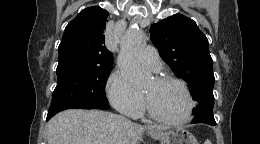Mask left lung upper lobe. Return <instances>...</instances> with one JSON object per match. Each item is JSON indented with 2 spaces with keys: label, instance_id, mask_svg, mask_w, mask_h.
<instances>
[{
  "label": "left lung upper lobe",
  "instance_id": "obj_1",
  "mask_svg": "<svg viewBox=\"0 0 260 144\" xmlns=\"http://www.w3.org/2000/svg\"><path fill=\"white\" fill-rule=\"evenodd\" d=\"M150 33L162 59L178 78L189 83L191 95L198 102L193 123L215 124V78L206 36L194 20L182 14L152 24Z\"/></svg>",
  "mask_w": 260,
  "mask_h": 144
}]
</instances>
